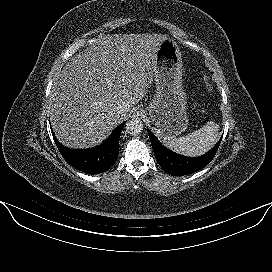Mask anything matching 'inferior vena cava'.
I'll return each mask as SVG.
<instances>
[{
    "label": "inferior vena cava",
    "instance_id": "1",
    "mask_svg": "<svg viewBox=\"0 0 272 272\" xmlns=\"http://www.w3.org/2000/svg\"><path fill=\"white\" fill-rule=\"evenodd\" d=\"M116 113L119 115L125 114L129 111V107L125 104L119 103L116 107H115Z\"/></svg>",
    "mask_w": 272,
    "mask_h": 272
}]
</instances>
